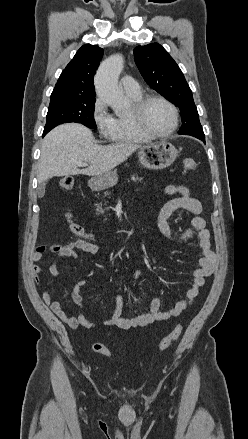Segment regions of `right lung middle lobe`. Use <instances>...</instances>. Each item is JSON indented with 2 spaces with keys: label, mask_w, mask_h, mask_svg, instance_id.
<instances>
[{
  "label": "right lung middle lobe",
  "mask_w": 248,
  "mask_h": 439,
  "mask_svg": "<svg viewBox=\"0 0 248 439\" xmlns=\"http://www.w3.org/2000/svg\"><path fill=\"white\" fill-rule=\"evenodd\" d=\"M95 96L64 95L51 97L44 133L59 124L77 122L97 129L94 121Z\"/></svg>",
  "instance_id": "obj_1"
}]
</instances>
